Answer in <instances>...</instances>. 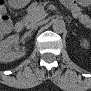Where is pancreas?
Here are the masks:
<instances>
[{
  "mask_svg": "<svg viewBox=\"0 0 91 91\" xmlns=\"http://www.w3.org/2000/svg\"><path fill=\"white\" fill-rule=\"evenodd\" d=\"M67 7L72 11L73 15H76L79 18L80 22H82L87 27L90 26V18L87 15L82 14L80 7H78L75 3H67ZM27 12L28 14L23 19L26 25L36 22L42 19L44 16L43 6L38 5L37 3H32L28 7Z\"/></svg>",
  "mask_w": 91,
  "mask_h": 91,
  "instance_id": "cf45deb5",
  "label": "pancreas"
}]
</instances>
